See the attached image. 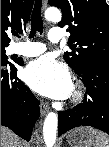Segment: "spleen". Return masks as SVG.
Masks as SVG:
<instances>
[{
  "mask_svg": "<svg viewBox=\"0 0 109 147\" xmlns=\"http://www.w3.org/2000/svg\"><path fill=\"white\" fill-rule=\"evenodd\" d=\"M94 147H109V136L104 132L98 131Z\"/></svg>",
  "mask_w": 109,
  "mask_h": 147,
  "instance_id": "spleen-1",
  "label": "spleen"
}]
</instances>
